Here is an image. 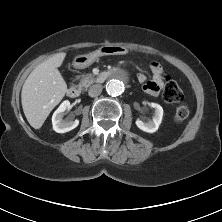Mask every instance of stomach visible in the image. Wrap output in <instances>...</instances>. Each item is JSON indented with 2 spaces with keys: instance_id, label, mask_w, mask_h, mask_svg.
Listing matches in <instances>:
<instances>
[{
  "instance_id": "stomach-1",
  "label": "stomach",
  "mask_w": 222,
  "mask_h": 222,
  "mask_svg": "<svg viewBox=\"0 0 222 222\" xmlns=\"http://www.w3.org/2000/svg\"><path fill=\"white\" fill-rule=\"evenodd\" d=\"M127 52V49L122 46L106 45L101 47L96 52L76 56L73 59L72 65L76 69H85L92 65L100 56L122 55L126 54Z\"/></svg>"
}]
</instances>
